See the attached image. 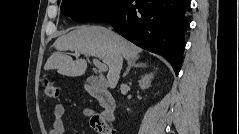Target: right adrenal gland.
Segmentation results:
<instances>
[{
    "label": "right adrenal gland",
    "mask_w": 239,
    "mask_h": 134,
    "mask_svg": "<svg viewBox=\"0 0 239 134\" xmlns=\"http://www.w3.org/2000/svg\"><path fill=\"white\" fill-rule=\"evenodd\" d=\"M144 66H145V64L136 63V60L128 61V68H127L126 72L123 74V77L127 76L131 67H144Z\"/></svg>",
    "instance_id": "right-adrenal-gland-1"
}]
</instances>
